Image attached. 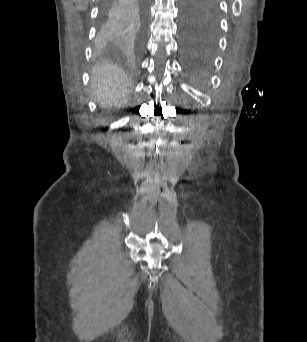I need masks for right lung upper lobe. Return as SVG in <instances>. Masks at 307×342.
<instances>
[{
	"instance_id": "1",
	"label": "right lung upper lobe",
	"mask_w": 307,
	"mask_h": 342,
	"mask_svg": "<svg viewBox=\"0 0 307 342\" xmlns=\"http://www.w3.org/2000/svg\"><path fill=\"white\" fill-rule=\"evenodd\" d=\"M107 11L116 12L118 21L130 20L136 27L142 22L145 10V0H108L105 3Z\"/></svg>"
}]
</instances>
